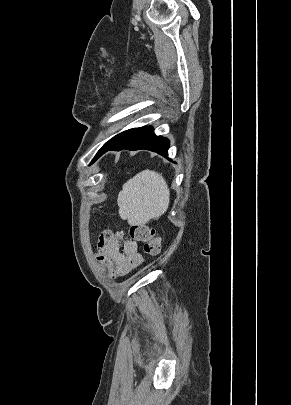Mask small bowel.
Listing matches in <instances>:
<instances>
[{"instance_id":"c3829d8e","label":"small bowel","mask_w":291,"mask_h":405,"mask_svg":"<svg viewBox=\"0 0 291 405\" xmlns=\"http://www.w3.org/2000/svg\"><path fill=\"white\" fill-rule=\"evenodd\" d=\"M96 259L107 268L111 278L124 276L143 262L135 242L124 240L121 231L110 230L99 238Z\"/></svg>"}]
</instances>
